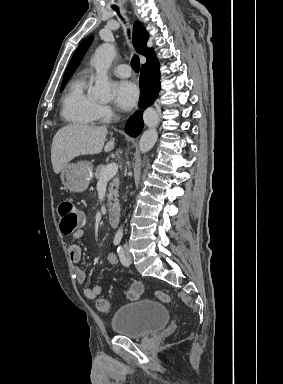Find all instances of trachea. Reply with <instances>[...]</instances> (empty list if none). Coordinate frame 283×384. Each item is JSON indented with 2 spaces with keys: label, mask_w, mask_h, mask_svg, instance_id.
<instances>
[{
  "label": "trachea",
  "mask_w": 283,
  "mask_h": 384,
  "mask_svg": "<svg viewBox=\"0 0 283 384\" xmlns=\"http://www.w3.org/2000/svg\"><path fill=\"white\" fill-rule=\"evenodd\" d=\"M114 10H117V12H118V9H117V8H114ZM131 67H132V69H133L136 73L139 72V70H140V61H139V57H138L137 55H134V56L132 57V60H131Z\"/></svg>",
  "instance_id": "trachea-1"
}]
</instances>
